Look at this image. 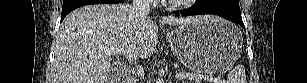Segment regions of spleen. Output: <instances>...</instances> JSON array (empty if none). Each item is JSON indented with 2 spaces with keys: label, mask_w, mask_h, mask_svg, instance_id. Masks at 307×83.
<instances>
[{
  "label": "spleen",
  "mask_w": 307,
  "mask_h": 83,
  "mask_svg": "<svg viewBox=\"0 0 307 83\" xmlns=\"http://www.w3.org/2000/svg\"><path fill=\"white\" fill-rule=\"evenodd\" d=\"M228 83H247L244 66L237 65L229 72Z\"/></svg>",
  "instance_id": "3e777b00"
}]
</instances>
